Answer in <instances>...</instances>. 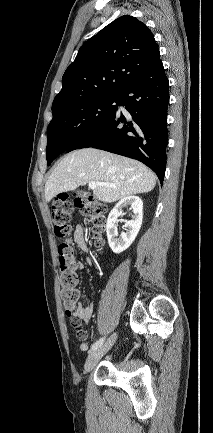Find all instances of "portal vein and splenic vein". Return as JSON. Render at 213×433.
<instances>
[{
	"instance_id": "portal-vein-and-splenic-vein-1",
	"label": "portal vein and splenic vein",
	"mask_w": 213,
	"mask_h": 433,
	"mask_svg": "<svg viewBox=\"0 0 213 433\" xmlns=\"http://www.w3.org/2000/svg\"><path fill=\"white\" fill-rule=\"evenodd\" d=\"M88 185H89V188L92 189V190L96 189L97 186H109V184H107V183L94 182V181L89 182Z\"/></svg>"
}]
</instances>
